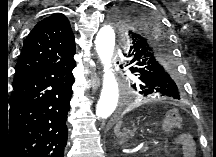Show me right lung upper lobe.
<instances>
[{
	"instance_id": "cb5924a9",
	"label": "right lung upper lobe",
	"mask_w": 216,
	"mask_h": 157,
	"mask_svg": "<svg viewBox=\"0 0 216 157\" xmlns=\"http://www.w3.org/2000/svg\"><path fill=\"white\" fill-rule=\"evenodd\" d=\"M75 51L68 19L61 13L46 17L37 23L24 42L13 85L52 63L72 58Z\"/></svg>"
}]
</instances>
